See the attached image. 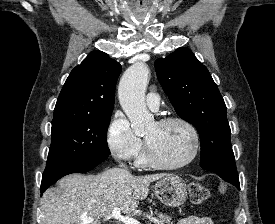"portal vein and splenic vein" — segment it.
Masks as SVG:
<instances>
[{
    "label": "portal vein and splenic vein",
    "mask_w": 275,
    "mask_h": 224,
    "mask_svg": "<svg viewBox=\"0 0 275 224\" xmlns=\"http://www.w3.org/2000/svg\"><path fill=\"white\" fill-rule=\"evenodd\" d=\"M107 217H112L113 219H115L119 222H122L123 224H140V222L137 221L136 219L122 216L121 210L119 208H114L113 211L111 212V214ZM81 219H82V221H84L86 223H91L94 221L93 218H87V217H82Z\"/></svg>",
    "instance_id": "1"
}]
</instances>
